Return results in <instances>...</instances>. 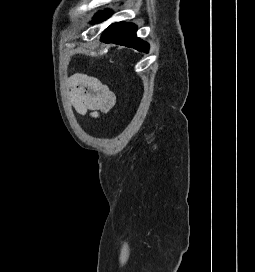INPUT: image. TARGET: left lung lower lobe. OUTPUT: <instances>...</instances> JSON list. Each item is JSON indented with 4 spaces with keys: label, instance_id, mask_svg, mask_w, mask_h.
Here are the masks:
<instances>
[{
    "label": "left lung lower lobe",
    "instance_id": "0a47b994",
    "mask_svg": "<svg viewBox=\"0 0 255 272\" xmlns=\"http://www.w3.org/2000/svg\"><path fill=\"white\" fill-rule=\"evenodd\" d=\"M110 10L100 11L93 18L94 22H100L110 17ZM105 43H115L118 45L134 48L138 51L148 52V43L136 37V26L131 23H114L110 25L102 34L100 39Z\"/></svg>",
    "mask_w": 255,
    "mask_h": 272
}]
</instances>
